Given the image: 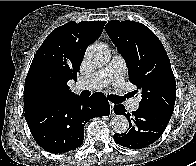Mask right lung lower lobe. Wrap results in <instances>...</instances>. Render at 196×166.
I'll return each instance as SVG.
<instances>
[{
	"label": "right lung lower lobe",
	"instance_id": "right-lung-lower-lobe-1",
	"mask_svg": "<svg viewBox=\"0 0 196 166\" xmlns=\"http://www.w3.org/2000/svg\"><path fill=\"white\" fill-rule=\"evenodd\" d=\"M109 113L107 98L102 93H94L87 98L74 95L24 115L38 145L56 154L78 148L84 140L85 123Z\"/></svg>",
	"mask_w": 196,
	"mask_h": 166
}]
</instances>
